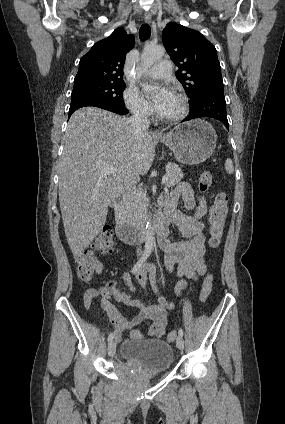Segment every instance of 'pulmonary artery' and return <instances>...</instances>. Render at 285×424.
I'll return each instance as SVG.
<instances>
[{"mask_svg": "<svg viewBox=\"0 0 285 424\" xmlns=\"http://www.w3.org/2000/svg\"><path fill=\"white\" fill-rule=\"evenodd\" d=\"M148 75L155 79L168 78L171 75V62L168 59L160 60L157 65L148 70Z\"/></svg>", "mask_w": 285, "mask_h": 424, "instance_id": "e3ab8cb5", "label": "pulmonary artery"}]
</instances>
